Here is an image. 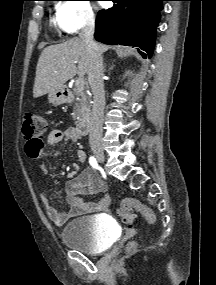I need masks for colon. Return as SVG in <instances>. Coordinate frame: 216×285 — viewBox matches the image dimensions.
Instances as JSON below:
<instances>
[{"instance_id":"colon-1","label":"colon","mask_w":216,"mask_h":285,"mask_svg":"<svg viewBox=\"0 0 216 285\" xmlns=\"http://www.w3.org/2000/svg\"><path fill=\"white\" fill-rule=\"evenodd\" d=\"M48 129L47 119L40 113L30 112L24 116L22 135L26 141V152L32 158L38 157L43 150V137ZM122 221L132 224L135 219V212L141 213L149 224H154L156 216L153 211L134 198H125L120 202L116 210ZM135 246L134 242H128L125 251H130Z\"/></svg>"}]
</instances>
